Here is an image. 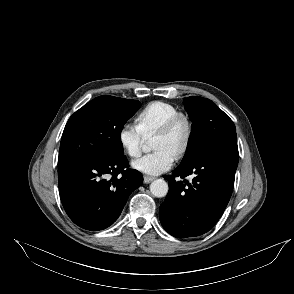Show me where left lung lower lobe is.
Listing matches in <instances>:
<instances>
[{
  "mask_svg": "<svg viewBox=\"0 0 294 294\" xmlns=\"http://www.w3.org/2000/svg\"><path fill=\"white\" fill-rule=\"evenodd\" d=\"M238 165L236 139L211 146L188 165L178 166L165 177L169 192L160 205L164 229L177 238L195 237L209 231L222 216L232 194ZM193 174L191 182L177 181Z\"/></svg>",
  "mask_w": 294,
  "mask_h": 294,
  "instance_id": "1",
  "label": "left lung lower lobe"
}]
</instances>
